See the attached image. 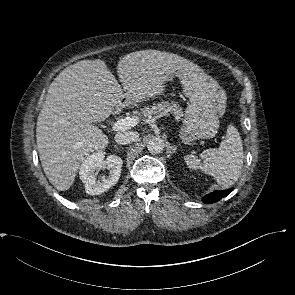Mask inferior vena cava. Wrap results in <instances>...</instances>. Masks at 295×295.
I'll return each instance as SVG.
<instances>
[{"label":"inferior vena cava","instance_id":"602c4592","mask_svg":"<svg viewBox=\"0 0 295 295\" xmlns=\"http://www.w3.org/2000/svg\"><path fill=\"white\" fill-rule=\"evenodd\" d=\"M139 134L135 131L119 132L115 135V141L118 144H129L138 140Z\"/></svg>","mask_w":295,"mask_h":295}]
</instances>
